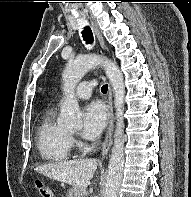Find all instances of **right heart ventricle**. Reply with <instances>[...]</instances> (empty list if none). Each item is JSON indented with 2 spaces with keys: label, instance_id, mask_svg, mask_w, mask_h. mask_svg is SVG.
Returning <instances> with one entry per match:
<instances>
[{
  "label": "right heart ventricle",
  "instance_id": "1",
  "mask_svg": "<svg viewBox=\"0 0 191 197\" xmlns=\"http://www.w3.org/2000/svg\"><path fill=\"white\" fill-rule=\"evenodd\" d=\"M36 146L42 159L50 162L66 161L72 157L68 131L57 124L54 108H47L36 131Z\"/></svg>",
  "mask_w": 191,
  "mask_h": 197
}]
</instances>
